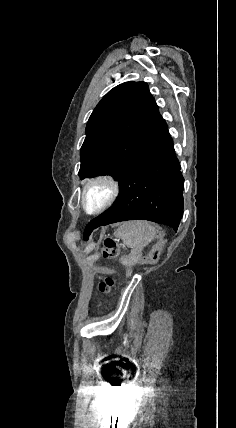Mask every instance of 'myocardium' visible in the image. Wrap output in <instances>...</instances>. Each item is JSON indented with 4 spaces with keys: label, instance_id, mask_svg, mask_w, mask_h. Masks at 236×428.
Instances as JSON below:
<instances>
[{
    "label": "myocardium",
    "instance_id": "obj_1",
    "mask_svg": "<svg viewBox=\"0 0 236 428\" xmlns=\"http://www.w3.org/2000/svg\"><path fill=\"white\" fill-rule=\"evenodd\" d=\"M95 186H102L107 191L105 200L94 208H90L87 203V194ZM122 192L121 182L111 174H98L89 178L83 185L81 191V205L84 211L89 214H98L110 208L119 198Z\"/></svg>",
    "mask_w": 236,
    "mask_h": 428
}]
</instances>
